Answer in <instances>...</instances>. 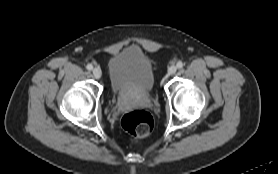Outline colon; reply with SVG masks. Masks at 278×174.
Segmentation results:
<instances>
[{
	"instance_id": "5ec220e1",
	"label": "colon",
	"mask_w": 278,
	"mask_h": 174,
	"mask_svg": "<svg viewBox=\"0 0 278 174\" xmlns=\"http://www.w3.org/2000/svg\"><path fill=\"white\" fill-rule=\"evenodd\" d=\"M121 125L132 137L139 139L151 133L154 120L148 111L144 109H135L123 116Z\"/></svg>"
}]
</instances>
